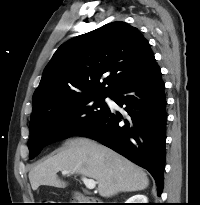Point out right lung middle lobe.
<instances>
[{
  "mask_svg": "<svg viewBox=\"0 0 200 205\" xmlns=\"http://www.w3.org/2000/svg\"><path fill=\"white\" fill-rule=\"evenodd\" d=\"M105 97L89 95L66 99L31 118L29 158L37 156L46 145L75 136L95 124L109 110Z\"/></svg>",
  "mask_w": 200,
  "mask_h": 205,
  "instance_id": "obj_1",
  "label": "right lung middle lobe"
}]
</instances>
